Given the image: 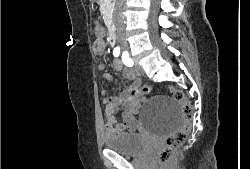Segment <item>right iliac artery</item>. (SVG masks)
<instances>
[{"label":"right iliac artery","mask_w":250,"mask_h":169,"mask_svg":"<svg viewBox=\"0 0 250 169\" xmlns=\"http://www.w3.org/2000/svg\"><path fill=\"white\" fill-rule=\"evenodd\" d=\"M119 54H120V49H119V48H115V49L113 50V55H114L115 57H118Z\"/></svg>","instance_id":"right-iliac-artery-1"}]
</instances>
